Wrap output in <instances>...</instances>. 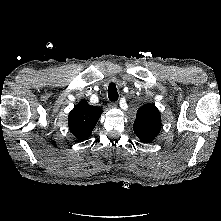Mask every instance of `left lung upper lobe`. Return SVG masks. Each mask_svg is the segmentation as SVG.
I'll list each match as a JSON object with an SVG mask.
<instances>
[{"label": "left lung upper lobe", "instance_id": "obj_1", "mask_svg": "<svg viewBox=\"0 0 221 221\" xmlns=\"http://www.w3.org/2000/svg\"><path fill=\"white\" fill-rule=\"evenodd\" d=\"M161 116L153 104L140 107L136 114L133 129L141 142H152L160 132Z\"/></svg>", "mask_w": 221, "mask_h": 221}]
</instances>
